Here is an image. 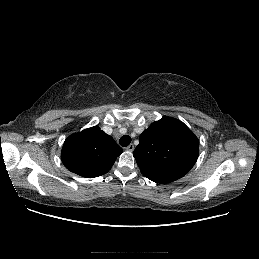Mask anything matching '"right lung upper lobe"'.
<instances>
[{
    "mask_svg": "<svg viewBox=\"0 0 259 259\" xmlns=\"http://www.w3.org/2000/svg\"><path fill=\"white\" fill-rule=\"evenodd\" d=\"M121 153L115 140L94 126L65 140L61 160L69 171L94 178L106 174Z\"/></svg>",
    "mask_w": 259,
    "mask_h": 259,
    "instance_id": "cb5924a9",
    "label": "right lung upper lobe"
}]
</instances>
